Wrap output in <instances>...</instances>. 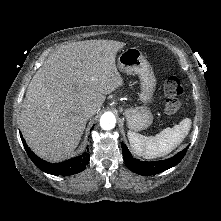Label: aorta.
I'll return each instance as SVG.
<instances>
[{
    "mask_svg": "<svg viewBox=\"0 0 221 221\" xmlns=\"http://www.w3.org/2000/svg\"><path fill=\"white\" fill-rule=\"evenodd\" d=\"M116 118L112 113H104L100 118V126L103 130H111L115 127Z\"/></svg>",
    "mask_w": 221,
    "mask_h": 221,
    "instance_id": "aorta-1",
    "label": "aorta"
}]
</instances>
